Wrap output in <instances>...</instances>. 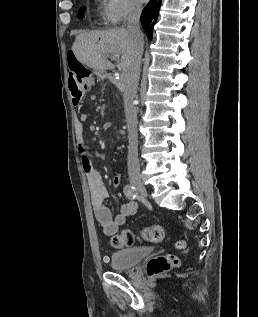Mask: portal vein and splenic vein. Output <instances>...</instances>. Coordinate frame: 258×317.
I'll return each mask as SVG.
<instances>
[{
	"label": "portal vein and splenic vein",
	"mask_w": 258,
	"mask_h": 317,
	"mask_svg": "<svg viewBox=\"0 0 258 317\" xmlns=\"http://www.w3.org/2000/svg\"><path fill=\"white\" fill-rule=\"evenodd\" d=\"M117 56H119V54H112L111 58H117Z\"/></svg>",
	"instance_id": "obj_1"
}]
</instances>
